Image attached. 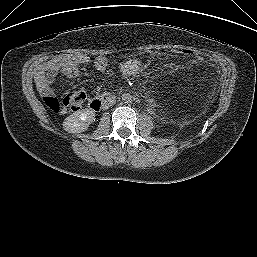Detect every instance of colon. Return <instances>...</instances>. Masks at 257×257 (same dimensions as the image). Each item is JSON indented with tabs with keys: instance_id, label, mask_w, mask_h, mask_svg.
<instances>
[{
	"instance_id": "5ec220e1",
	"label": "colon",
	"mask_w": 257,
	"mask_h": 257,
	"mask_svg": "<svg viewBox=\"0 0 257 257\" xmlns=\"http://www.w3.org/2000/svg\"><path fill=\"white\" fill-rule=\"evenodd\" d=\"M177 53L182 54L185 57H196L197 53L192 49H179ZM85 94L81 91H73L67 93L62 100L54 96L45 98L46 105L55 113H61L64 108H70L72 110H79L84 105Z\"/></svg>"
}]
</instances>
